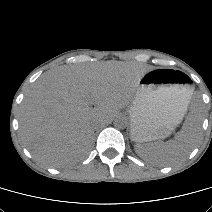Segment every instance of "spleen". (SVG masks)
I'll return each mask as SVG.
<instances>
[{
	"instance_id": "1",
	"label": "spleen",
	"mask_w": 212,
	"mask_h": 212,
	"mask_svg": "<svg viewBox=\"0 0 212 212\" xmlns=\"http://www.w3.org/2000/svg\"><path fill=\"white\" fill-rule=\"evenodd\" d=\"M200 125L187 121L174 140L165 143L137 144L136 153L144 160L157 165H172L184 160L195 146Z\"/></svg>"
}]
</instances>
